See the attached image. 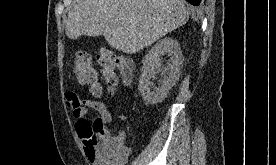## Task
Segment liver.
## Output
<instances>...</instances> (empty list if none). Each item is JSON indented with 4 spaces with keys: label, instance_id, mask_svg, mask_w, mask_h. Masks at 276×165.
Instances as JSON below:
<instances>
[{
    "label": "liver",
    "instance_id": "liver-1",
    "mask_svg": "<svg viewBox=\"0 0 276 165\" xmlns=\"http://www.w3.org/2000/svg\"><path fill=\"white\" fill-rule=\"evenodd\" d=\"M182 0H83L68 13L70 39L103 35L119 51L134 54L186 24Z\"/></svg>",
    "mask_w": 276,
    "mask_h": 165
}]
</instances>
